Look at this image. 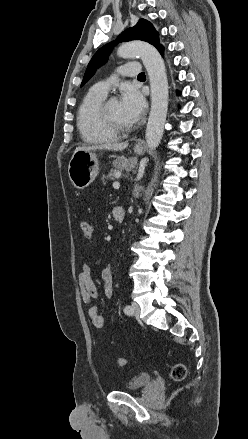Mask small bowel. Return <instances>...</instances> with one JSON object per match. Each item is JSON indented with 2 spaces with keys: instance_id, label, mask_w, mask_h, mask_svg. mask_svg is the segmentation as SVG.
I'll use <instances>...</instances> for the list:
<instances>
[{
  "instance_id": "1",
  "label": "small bowel",
  "mask_w": 248,
  "mask_h": 439,
  "mask_svg": "<svg viewBox=\"0 0 248 439\" xmlns=\"http://www.w3.org/2000/svg\"><path fill=\"white\" fill-rule=\"evenodd\" d=\"M103 281V289L107 298L113 297L112 288V266L107 265L101 272ZM78 284L83 300L89 304V317L92 324L96 328H103L105 326V318L99 313L95 301L98 297V289L94 283L91 275V267L88 264L82 266L81 272L78 275Z\"/></svg>"
}]
</instances>
